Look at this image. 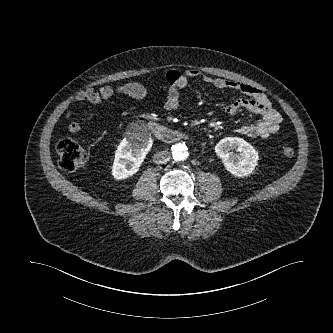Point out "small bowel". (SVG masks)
<instances>
[{
    "label": "small bowel",
    "instance_id": "small-bowel-1",
    "mask_svg": "<svg viewBox=\"0 0 333 333\" xmlns=\"http://www.w3.org/2000/svg\"><path fill=\"white\" fill-rule=\"evenodd\" d=\"M198 77H201L204 83L216 89L238 91L247 96V98H239L232 101L223 109L224 114L228 117L236 116L241 110H247L259 116L260 119L258 121L245 124L239 128V132L242 135L250 138H267L279 130L282 117L272 107L268 98L261 90L238 81L201 75V72L197 69H188L184 72L170 71L166 74L168 91L163 102L164 108L166 110L178 109L181 104V90L188 85L190 79ZM116 95L143 99L147 95V90L142 84L137 82H129L116 88L103 86L98 89L91 88L78 93L73 102L98 104ZM70 116L71 113L69 111L66 112L65 117L69 119ZM68 129L70 132L77 133L81 130V124L78 121L72 120L68 123Z\"/></svg>",
    "mask_w": 333,
    "mask_h": 333
}]
</instances>
